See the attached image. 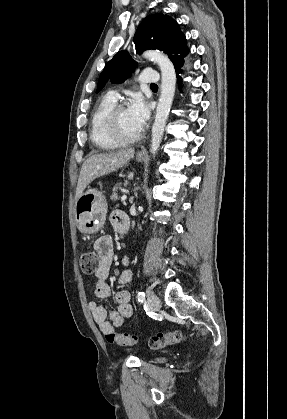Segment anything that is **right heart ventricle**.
<instances>
[{
    "label": "right heart ventricle",
    "mask_w": 287,
    "mask_h": 419,
    "mask_svg": "<svg viewBox=\"0 0 287 419\" xmlns=\"http://www.w3.org/2000/svg\"><path fill=\"white\" fill-rule=\"evenodd\" d=\"M115 105L116 99L107 94L99 101L91 115L90 140L94 146L102 150L115 149L120 145L108 135L105 128L106 116Z\"/></svg>",
    "instance_id": "1"
}]
</instances>
